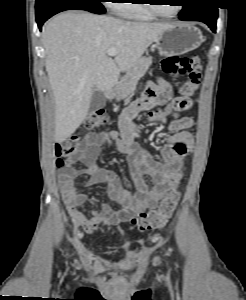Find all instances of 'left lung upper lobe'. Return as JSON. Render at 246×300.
I'll use <instances>...</instances> for the list:
<instances>
[{"mask_svg": "<svg viewBox=\"0 0 246 300\" xmlns=\"http://www.w3.org/2000/svg\"><path fill=\"white\" fill-rule=\"evenodd\" d=\"M201 0H187V5L183 6V9L181 12H184L186 10H189L190 8H192L196 3H198ZM210 2H213V0H209ZM180 12V13H181Z\"/></svg>", "mask_w": 246, "mask_h": 300, "instance_id": "1", "label": "left lung upper lobe"}]
</instances>
